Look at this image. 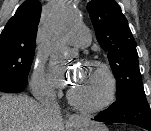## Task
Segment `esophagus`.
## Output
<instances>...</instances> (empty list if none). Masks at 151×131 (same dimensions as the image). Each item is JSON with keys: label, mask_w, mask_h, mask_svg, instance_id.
<instances>
[{"label": "esophagus", "mask_w": 151, "mask_h": 131, "mask_svg": "<svg viewBox=\"0 0 151 131\" xmlns=\"http://www.w3.org/2000/svg\"><path fill=\"white\" fill-rule=\"evenodd\" d=\"M68 121L71 123H76V122L80 121V116L77 114H72V115L68 116Z\"/></svg>", "instance_id": "esophagus-1"}]
</instances>
